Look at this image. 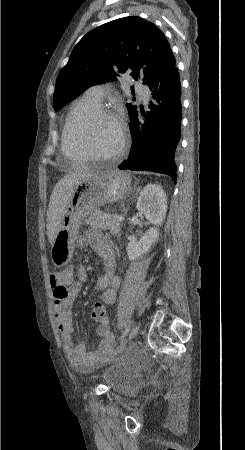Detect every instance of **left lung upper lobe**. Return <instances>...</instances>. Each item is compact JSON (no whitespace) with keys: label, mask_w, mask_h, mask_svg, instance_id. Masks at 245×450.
Segmentation results:
<instances>
[{"label":"left lung upper lobe","mask_w":245,"mask_h":450,"mask_svg":"<svg viewBox=\"0 0 245 450\" xmlns=\"http://www.w3.org/2000/svg\"><path fill=\"white\" fill-rule=\"evenodd\" d=\"M173 56L162 31L137 16L108 22L86 34L58 75L54 109L59 110L87 88L116 81L123 73L147 85ZM130 117L137 106L127 104Z\"/></svg>","instance_id":"left-lung-upper-lobe-1"}]
</instances>
